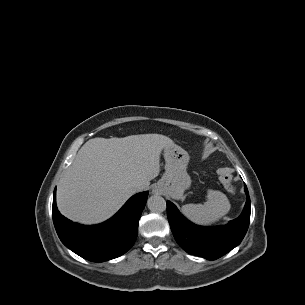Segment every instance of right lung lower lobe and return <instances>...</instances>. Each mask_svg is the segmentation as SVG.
<instances>
[{"mask_svg":"<svg viewBox=\"0 0 305 305\" xmlns=\"http://www.w3.org/2000/svg\"><path fill=\"white\" fill-rule=\"evenodd\" d=\"M147 196V191L136 194L109 220L85 226L73 223L58 211L54 191L52 216L55 229L62 243L84 259L103 262L117 258L135 243Z\"/></svg>","mask_w":305,"mask_h":305,"instance_id":"right-lung-lower-lobe-1","label":"right lung lower lobe"}]
</instances>
